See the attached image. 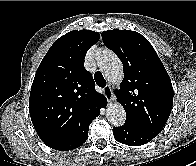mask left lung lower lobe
Wrapping results in <instances>:
<instances>
[{
    "label": "left lung lower lobe",
    "instance_id": "0a47b994",
    "mask_svg": "<svg viewBox=\"0 0 196 166\" xmlns=\"http://www.w3.org/2000/svg\"><path fill=\"white\" fill-rule=\"evenodd\" d=\"M113 135L116 141L129 146L146 144L157 136L154 132L141 130L126 123L120 127H113Z\"/></svg>",
    "mask_w": 196,
    "mask_h": 166
}]
</instances>
